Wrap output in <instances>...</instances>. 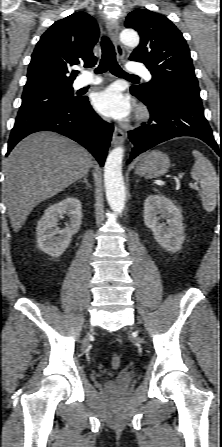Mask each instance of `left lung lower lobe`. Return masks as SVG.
<instances>
[{
    "mask_svg": "<svg viewBox=\"0 0 222 447\" xmlns=\"http://www.w3.org/2000/svg\"><path fill=\"white\" fill-rule=\"evenodd\" d=\"M131 93L148 106L150 120L147 125L129 131V138L134 147L128 162L151 147L180 136H192L203 140L222 159V144L218 146L214 140L200 101L172 90L164 91L152 100L132 91Z\"/></svg>",
    "mask_w": 222,
    "mask_h": 447,
    "instance_id": "0a47b994",
    "label": "left lung lower lobe"
}]
</instances>
